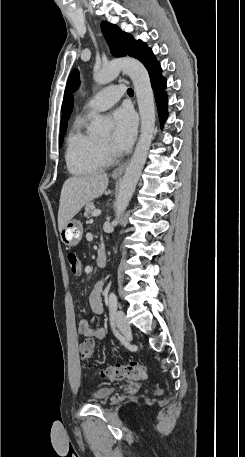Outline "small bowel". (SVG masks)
<instances>
[{
  "mask_svg": "<svg viewBox=\"0 0 245 457\" xmlns=\"http://www.w3.org/2000/svg\"><path fill=\"white\" fill-rule=\"evenodd\" d=\"M104 287V280H99L94 288L92 289L89 296V305L94 314H102L104 306L102 303V293ZM78 332L88 338L94 340H103L106 336V330L104 328L93 329L90 326L88 318L81 319L78 323Z\"/></svg>",
  "mask_w": 245,
  "mask_h": 457,
  "instance_id": "small-bowel-1",
  "label": "small bowel"
}]
</instances>
